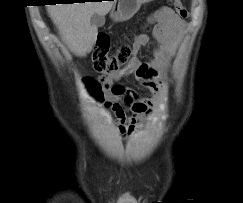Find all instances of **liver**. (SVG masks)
Segmentation results:
<instances>
[{
  "mask_svg": "<svg viewBox=\"0 0 243 203\" xmlns=\"http://www.w3.org/2000/svg\"><path fill=\"white\" fill-rule=\"evenodd\" d=\"M112 1L49 5L48 13L57 25L63 40L78 56H85L96 42L98 29L91 25L94 13L106 15Z\"/></svg>",
  "mask_w": 243,
  "mask_h": 203,
  "instance_id": "6515ba94",
  "label": "liver"
}]
</instances>
